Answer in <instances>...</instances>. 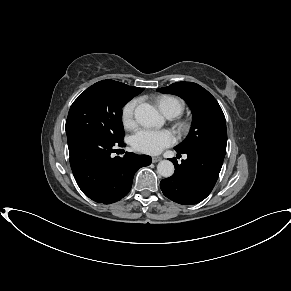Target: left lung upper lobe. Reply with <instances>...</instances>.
<instances>
[{
    "mask_svg": "<svg viewBox=\"0 0 291 291\" xmlns=\"http://www.w3.org/2000/svg\"><path fill=\"white\" fill-rule=\"evenodd\" d=\"M158 91L172 93L183 98L193 113V124L186 139L175 149L192 148L223 149L226 151V120L216 99L203 87L193 82L173 83Z\"/></svg>",
    "mask_w": 291,
    "mask_h": 291,
    "instance_id": "5c2ea615",
    "label": "left lung upper lobe"
}]
</instances>
